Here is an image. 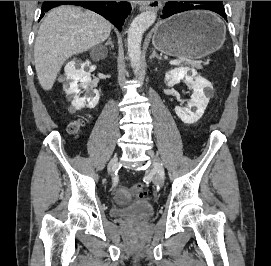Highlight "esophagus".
<instances>
[{
  "mask_svg": "<svg viewBox=\"0 0 271 266\" xmlns=\"http://www.w3.org/2000/svg\"><path fill=\"white\" fill-rule=\"evenodd\" d=\"M161 8V1H148L147 3H143L140 5V11L146 10H159Z\"/></svg>",
  "mask_w": 271,
  "mask_h": 266,
  "instance_id": "1",
  "label": "esophagus"
}]
</instances>
